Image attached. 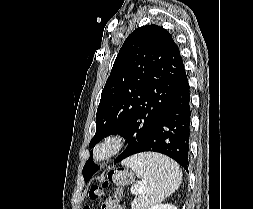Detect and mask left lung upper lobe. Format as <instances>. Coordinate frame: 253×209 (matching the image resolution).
<instances>
[{
    "mask_svg": "<svg viewBox=\"0 0 253 209\" xmlns=\"http://www.w3.org/2000/svg\"><path fill=\"white\" fill-rule=\"evenodd\" d=\"M183 69L179 48L167 30L157 25L135 29L124 41L102 90L89 147L118 134L128 146L114 163L136 153L166 111ZM98 169L91 156L82 171L85 181Z\"/></svg>",
    "mask_w": 253,
    "mask_h": 209,
    "instance_id": "obj_1",
    "label": "left lung upper lobe"
}]
</instances>
